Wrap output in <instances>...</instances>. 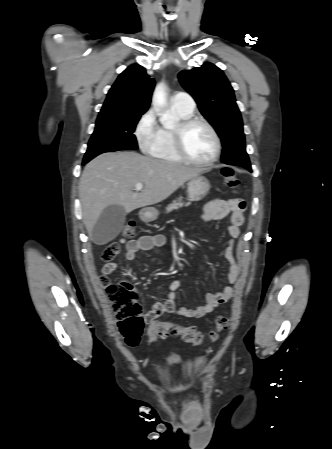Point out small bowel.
Segmentation results:
<instances>
[{
	"label": "small bowel",
	"mask_w": 332,
	"mask_h": 449,
	"mask_svg": "<svg viewBox=\"0 0 332 449\" xmlns=\"http://www.w3.org/2000/svg\"><path fill=\"white\" fill-rule=\"evenodd\" d=\"M246 210V203L241 199H223L217 198L209 202L202 216L205 222L228 219L230 224L227 227L230 240L227 242L224 249V256L229 262V272L227 275L228 285L223 290L207 293L205 296L206 303L195 309L176 308V290L180 286L179 280H173L169 283L167 299L164 303L157 302L154 304L152 310L146 314V320L151 322L157 319L164 313L176 314L185 318H200L212 312L221 304L230 300L233 296V287L240 274L241 266L234 258V244L235 240L240 236V226L244 223V212ZM126 244V260L134 263L136 255L139 251H153L156 252L161 246L166 243L164 235L141 236L136 239L128 241L121 240ZM117 269V264L108 262L102 267L101 282L107 280V276Z\"/></svg>",
	"instance_id": "c3829d8e"
}]
</instances>
